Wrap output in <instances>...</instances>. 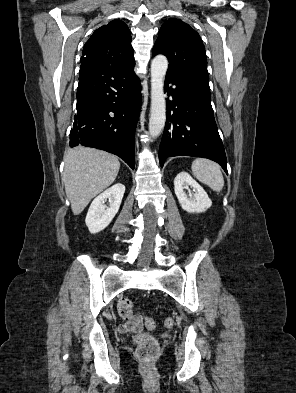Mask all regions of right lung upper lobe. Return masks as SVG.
Instances as JSON below:
<instances>
[{"label":"right lung upper lobe","instance_id":"right-lung-upper-lobe-1","mask_svg":"<svg viewBox=\"0 0 296 393\" xmlns=\"http://www.w3.org/2000/svg\"><path fill=\"white\" fill-rule=\"evenodd\" d=\"M127 25L115 19L94 31L85 43L81 65L122 66L134 63Z\"/></svg>","mask_w":296,"mask_h":393}]
</instances>
